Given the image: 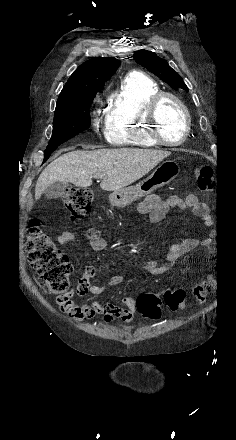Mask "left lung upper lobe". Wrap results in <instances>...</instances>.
<instances>
[{
	"mask_svg": "<svg viewBox=\"0 0 236 440\" xmlns=\"http://www.w3.org/2000/svg\"><path fill=\"white\" fill-rule=\"evenodd\" d=\"M135 61L147 68L174 89L182 88L188 91L182 78L168 65V62L158 57L154 52L139 50L133 55Z\"/></svg>",
	"mask_w": 236,
	"mask_h": 440,
	"instance_id": "obj_1",
	"label": "left lung upper lobe"
}]
</instances>
